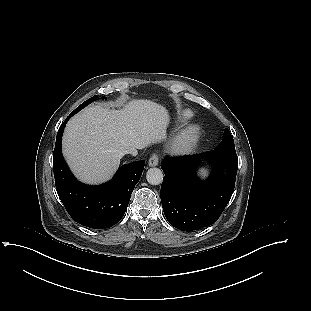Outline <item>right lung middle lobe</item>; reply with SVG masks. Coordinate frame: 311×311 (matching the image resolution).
<instances>
[{"label": "right lung middle lobe", "mask_w": 311, "mask_h": 311, "mask_svg": "<svg viewBox=\"0 0 311 311\" xmlns=\"http://www.w3.org/2000/svg\"><path fill=\"white\" fill-rule=\"evenodd\" d=\"M96 99H97V95L89 98L87 101L82 103L79 107H77L72 113L73 114L77 113L78 111H80L81 109H83L85 106H87L88 104H90L91 102H93ZM101 99H106V97H101Z\"/></svg>", "instance_id": "right-lung-middle-lobe-1"}]
</instances>
